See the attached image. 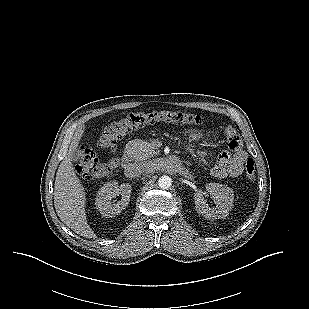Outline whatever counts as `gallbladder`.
<instances>
[{
  "label": "gallbladder",
  "mask_w": 309,
  "mask_h": 309,
  "mask_svg": "<svg viewBox=\"0 0 309 309\" xmlns=\"http://www.w3.org/2000/svg\"><path fill=\"white\" fill-rule=\"evenodd\" d=\"M81 158V152L79 149H74L71 151V159L73 161H78Z\"/></svg>",
  "instance_id": "obj_1"
}]
</instances>
